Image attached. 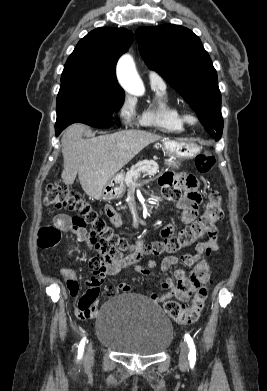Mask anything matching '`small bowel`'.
I'll return each instance as SVG.
<instances>
[{"label": "small bowel", "mask_w": 267, "mask_h": 391, "mask_svg": "<svg viewBox=\"0 0 267 391\" xmlns=\"http://www.w3.org/2000/svg\"><path fill=\"white\" fill-rule=\"evenodd\" d=\"M159 186L165 198L174 201L176 208L180 210V221L183 224H191L198 218L199 206L202 202L201 194L198 190V182L193 176L177 174L173 171L165 172L159 179ZM105 215L110 222L119 227L122 224L121 217L115 208L106 205ZM56 229L63 232L74 234L78 240L89 243L90 234L86 229V224L67 214H60L54 219ZM175 232L174 224H167L161 230L163 237L173 236ZM219 249L216 234L207 240L200 241L197 245L196 254L184 253L179 257L168 256L161 262V270L167 271L171 267L182 263L186 266H192L190 273L182 269L174 270L171 277L162 281L161 287L165 291L164 295L152 293L150 300L159 303L166 298H177L181 301H187L192 292L198 289L202 284L209 282L211 275V266L208 257ZM130 258H124L119 250H110L104 254H99L89 261L93 271L92 276L86 280L87 292L79 299L75 308V315L81 320H88L95 316L99 303V290L103 280L108 275L119 273L122 268L128 264H133ZM133 269L137 273L148 275L149 269L140 265L133 264ZM62 275L67 280V287L72 296L78 294L79 285L77 275L71 268L61 269ZM129 293L131 287L126 282H121L117 286H111L107 289V297L115 295L117 292Z\"/></svg>", "instance_id": "obj_1"}]
</instances>
